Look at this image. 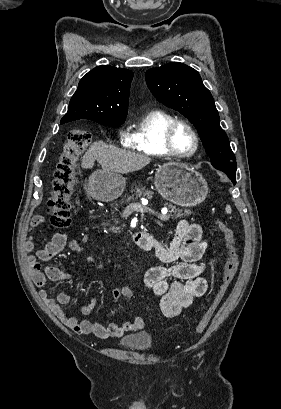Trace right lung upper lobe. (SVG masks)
Returning <instances> with one entry per match:
<instances>
[{
  "mask_svg": "<svg viewBox=\"0 0 281 409\" xmlns=\"http://www.w3.org/2000/svg\"><path fill=\"white\" fill-rule=\"evenodd\" d=\"M133 73L124 68L101 65L79 82L61 124L78 120H125Z\"/></svg>",
  "mask_w": 281,
  "mask_h": 409,
  "instance_id": "right-lung-upper-lobe-1",
  "label": "right lung upper lobe"
}]
</instances>
